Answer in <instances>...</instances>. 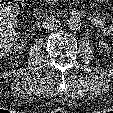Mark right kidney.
Listing matches in <instances>:
<instances>
[{
    "mask_svg": "<svg viewBox=\"0 0 113 113\" xmlns=\"http://www.w3.org/2000/svg\"><path fill=\"white\" fill-rule=\"evenodd\" d=\"M25 47H26L25 44L17 45V46H16V51H18V52L21 53V51L24 50Z\"/></svg>",
    "mask_w": 113,
    "mask_h": 113,
    "instance_id": "right-kidney-1",
    "label": "right kidney"
}]
</instances>
